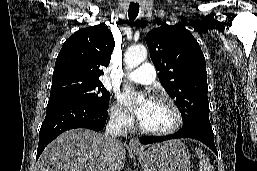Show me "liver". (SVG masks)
Here are the masks:
<instances>
[{"label":"liver","instance_id":"6515ba94","mask_svg":"<svg viewBox=\"0 0 257 171\" xmlns=\"http://www.w3.org/2000/svg\"><path fill=\"white\" fill-rule=\"evenodd\" d=\"M115 156L108 155L109 142L104 134L88 129H72L53 140L43 151L38 171H121L126 150L115 141Z\"/></svg>","mask_w":257,"mask_h":171}]
</instances>
